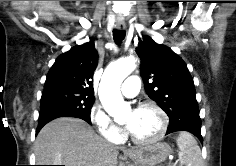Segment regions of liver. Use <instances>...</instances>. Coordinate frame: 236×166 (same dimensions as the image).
Returning a JSON list of instances; mask_svg holds the SVG:
<instances>
[{
  "label": "liver",
  "mask_w": 236,
  "mask_h": 166,
  "mask_svg": "<svg viewBox=\"0 0 236 166\" xmlns=\"http://www.w3.org/2000/svg\"><path fill=\"white\" fill-rule=\"evenodd\" d=\"M36 165L117 166L118 148L97 135L85 121L57 118L39 132Z\"/></svg>",
  "instance_id": "obj_1"
}]
</instances>
